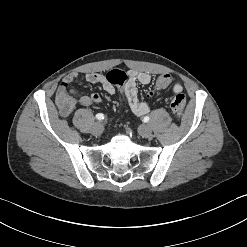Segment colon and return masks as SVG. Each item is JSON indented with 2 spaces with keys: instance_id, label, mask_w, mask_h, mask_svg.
<instances>
[{
  "instance_id": "5ec220e1",
  "label": "colon",
  "mask_w": 247,
  "mask_h": 247,
  "mask_svg": "<svg viewBox=\"0 0 247 247\" xmlns=\"http://www.w3.org/2000/svg\"><path fill=\"white\" fill-rule=\"evenodd\" d=\"M107 80L113 84L118 86L119 99L122 103L123 108L129 107V102L127 101L126 89L125 85L128 81L127 74L119 69H113L106 75ZM171 82V77L169 75H161L156 80L153 92H157L166 88ZM57 103L61 112L67 111L71 108L73 100L68 92H62L57 95ZM186 105V99L184 94L178 93L176 94L170 103V108L172 112L175 114L177 118H180L184 112Z\"/></svg>"
}]
</instances>
